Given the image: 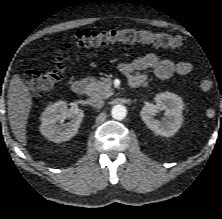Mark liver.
<instances>
[{"label":"liver","mask_w":222,"mask_h":219,"mask_svg":"<svg viewBox=\"0 0 222 219\" xmlns=\"http://www.w3.org/2000/svg\"><path fill=\"white\" fill-rule=\"evenodd\" d=\"M8 115L15 138L26 146V125L32 106V96L19 74H14L8 90Z\"/></svg>","instance_id":"1"}]
</instances>
